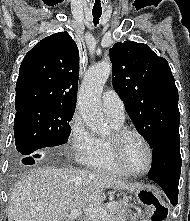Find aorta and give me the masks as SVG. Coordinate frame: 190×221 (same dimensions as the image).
<instances>
[{"label": "aorta", "mask_w": 190, "mask_h": 221, "mask_svg": "<svg viewBox=\"0 0 190 221\" xmlns=\"http://www.w3.org/2000/svg\"><path fill=\"white\" fill-rule=\"evenodd\" d=\"M112 71L109 61L92 66L86 73L78 96V109L87 127L97 134H105L107 122L101 108V93Z\"/></svg>", "instance_id": "1"}]
</instances>
